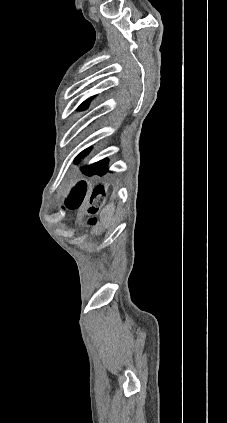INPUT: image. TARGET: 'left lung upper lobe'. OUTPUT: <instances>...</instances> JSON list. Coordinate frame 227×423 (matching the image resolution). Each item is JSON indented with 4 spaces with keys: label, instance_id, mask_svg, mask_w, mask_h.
I'll use <instances>...</instances> for the list:
<instances>
[{
    "label": "left lung upper lobe",
    "instance_id": "1",
    "mask_svg": "<svg viewBox=\"0 0 227 423\" xmlns=\"http://www.w3.org/2000/svg\"><path fill=\"white\" fill-rule=\"evenodd\" d=\"M88 101H89V100H87L86 102L82 103V104L79 106V110H84V109L88 108Z\"/></svg>",
    "mask_w": 227,
    "mask_h": 423
}]
</instances>
